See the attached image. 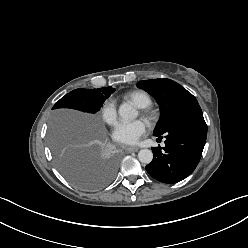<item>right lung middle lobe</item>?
<instances>
[{
	"label": "right lung middle lobe",
	"mask_w": 248,
	"mask_h": 248,
	"mask_svg": "<svg viewBox=\"0 0 248 248\" xmlns=\"http://www.w3.org/2000/svg\"><path fill=\"white\" fill-rule=\"evenodd\" d=\"M115 91L112 87L76 89L62 97L52 109L71 108L94 114ZM81 123L73 130H53L50 146L55 163L62 175L78 188L94 191L106 186L115 176L117 162L114 157H97L92 152L95 143H90L89 126ZM93 138V137H92ZM81 140L83 143L78 144Z\"/></svg>",
	"instance_id": "1"
}]
</instances>
